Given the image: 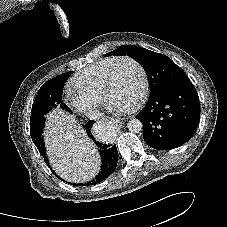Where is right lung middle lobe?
Here are the masks:
<instances>
[{
  "mask_svg": "<svg viewBox=\"0 0 227 227\" xmlns=\"http://www.w3.org/2000/svg\"><path fill=\"white\" fill-rule=\"evenodd\" d=\"M71 72L61 74L42 85L39 89L31 109L30 136L39 152L45 156L43 141L44 115L60 104V107L69 111L68 106L62 102L63 87L70 77Z\"/></svg>",
  "mask_w": 227,
  "mask_h": 227,
  "instance_id": "obj_1",
  "label": "right lung middle lobe"
}]
</instances>
